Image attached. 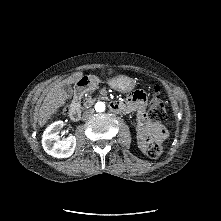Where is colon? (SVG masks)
<instances>
[{
	"mask_svg": "<svg viewBox=\"0 0 221 221\" xmlns=\"http://www.w3.org/2000/svg\"><path fill=\"white\" fill-rule=\"evenodd\" d=\"M159 86L153 87V97L149 104V116L157 121H164L167 118V112L164 103L157 96ZM163 152V147L160 144H153L148 150L147 155L151 158H158Z\"/></svg>",
	"mask_w": 221,
	"mask_h": 221,
	"instance_id": "1",
	"label": "colon"
}]
</instances>
